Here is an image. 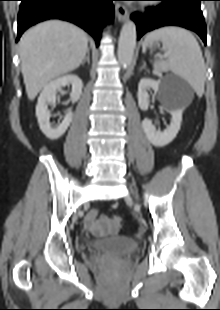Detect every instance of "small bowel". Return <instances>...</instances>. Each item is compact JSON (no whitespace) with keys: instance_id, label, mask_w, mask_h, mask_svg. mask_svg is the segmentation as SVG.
Segmentation results:
<instances>
[{"instance_id":"1","label":"small bowel","mask_w":220,"mask_h":310,"mask_svg":"<svg viewBox=\"0 0 220 310\" xmlns=\"http://www.w3.org/2000/svg\"><path fill=\"white\" fill-rule=\"evenodd\" d=\"M83 227L93 234L101 235L111 229V224L107 217L93 210L84 218Z\"/></svg>"}]
</instances>
